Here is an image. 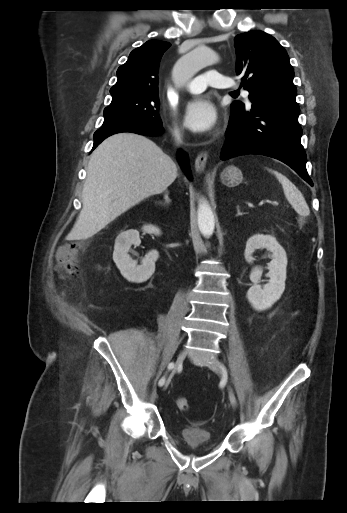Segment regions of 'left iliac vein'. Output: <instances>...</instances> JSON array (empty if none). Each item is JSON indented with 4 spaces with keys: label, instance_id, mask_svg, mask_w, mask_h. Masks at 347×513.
I'll return each instance as SVG.
<instances>
[{
    "label": "left iliac vein",
    "instance_id": "left-iliac-vein-1",
    "mask_svg": "<svg viewBox=\"0 0 347 513\" xmlns=\"http://www.w3.org/2000/svg\"><path fill=\"white\" fill-rule=\"evenodd\" d=\"M207 365L213 372L220 374V375L223 374L222 366L218 360L211 359V360L207 361ZM228 394H229V400H230L232 407L236 408L237 400H236L235 394L231 387L228 388Z\"/></svg>",
    "mask_w": 347,
    "mask_h": 513
}]
</instances>
